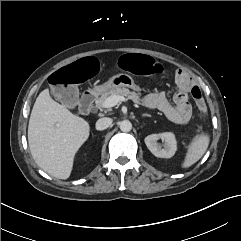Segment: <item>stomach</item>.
<instances>
[{"label": "stomach", "instance_id": "1", "mask_svg": "<svg viewBox=\"0 0 241 241\" xmlns=\"http://www.w3.org/2000/svg\"><path fill=\"white\" fill-rule=\"evenodd\" d=\"M120 87H129L137 89L134 79L128 73H118L110 77L102 85L95 86L93 90L97 93L110 91Z\"/></svg>", "mask_w": 241, "mask_h": 241}]
</instances>
